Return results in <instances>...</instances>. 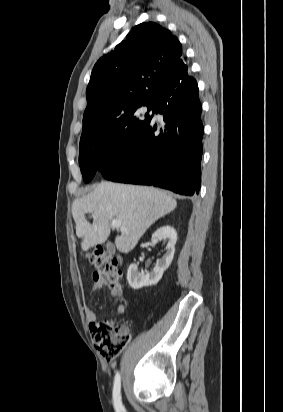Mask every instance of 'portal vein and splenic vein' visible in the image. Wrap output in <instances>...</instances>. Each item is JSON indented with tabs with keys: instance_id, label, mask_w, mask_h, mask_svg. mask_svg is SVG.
<instances>
[{
	"instance_id": "obj_1",
	"label": "portal vein and splenic vein",
	"mask_w": 283,
	"mask_h": 412,
	"mask_svg": "<svg viewBox=\"0 0 283 412\" xmlns=\"http://www.w3.org/2000/svg\"><path fill=\"white\" fill-rule=\"evenodd\" d=\"M111 225L113 228L120 229L121 231H125V229L121 225V222L116 219L111 220Z\"/></svg>"
}]
</instances>
